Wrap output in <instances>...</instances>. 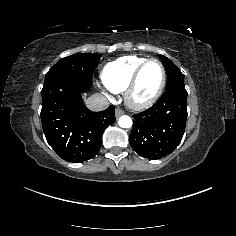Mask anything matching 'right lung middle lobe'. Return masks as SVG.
<instances>
[{
  "label": "right lung middle lobe",
  "instance_id": "dd1d6c3e",
  "mask_svg": "<svg viewBox=\"0 0 236 236\" xmlns=\"http://www.w3.org/2000/svg\"><path fill=\"white\" fill-rule=\"evenodd\" d=\"M101 55L91 53L74 54L58 61L46 74L45 82L62 76H75L92 84V75Z\"/></svg>",
  "mask_w": 236,
  "mask_h": 236
}]
</instances>
